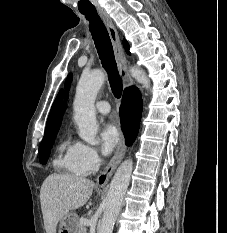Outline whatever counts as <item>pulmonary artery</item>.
<instances>
[{
	"mask_svg": "<svg viewBox=\"0 0 227 233\" xmlns=\"http://www.w3.org/2000/svg\"><path fill=\"white\" fill-rule=\"evenodd\" d=\"M110 105L107 101H98L96 103V110L103 115H106L110 112Z\"/></svg>",
	"mask_w": 227,
	"mask_h": 233,
	"instance_id": "pulmonary-artery-1",
	"label": "pulmonary artery"
}]
</instances>
